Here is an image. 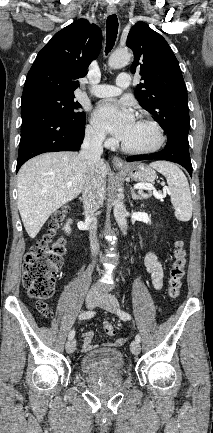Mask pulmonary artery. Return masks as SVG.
<instances>
[{
	"label": "pulmonary artery",
	"mask_w": 213,
	"mask_h": 433,
	"mask_svg": "<svg viewBox=\"0 0 213 433\" xmlns=\"http://www.w3.org/2000/svg\"><path fill=\"white\" fill-rule=\"evenodd\" d=\"M130 85V76L127 73H121L116 79V85L100 84L92 89V94L96 97L105 98L119 95L123 89Z\"/></svg>",
	"instance_id": "e3ab8cb5"
}]
</instances>
